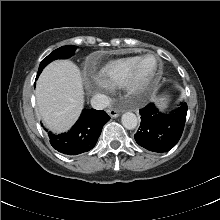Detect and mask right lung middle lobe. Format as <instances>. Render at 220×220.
<instances>
[{
    "label": "right lung middle lobe",
    "instance_id": "obj_1",
    "mask_svg": "<svg viewBox=\"0 0 220 220\" xmlns=\"http://www.w3.org/2000/svg\"><path fill=\"white\" fill-rule=\"evenodd\" d=\"M76 48L77 46L67 45L54 50L52 53H50L46 58L42 60L38 72L41 73L43 68L55 59H66L71 57L74 54Z\"/></svg>",
    "mask_w": 220,
    "mask_h": 220
}]
</instances>
